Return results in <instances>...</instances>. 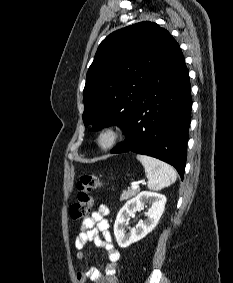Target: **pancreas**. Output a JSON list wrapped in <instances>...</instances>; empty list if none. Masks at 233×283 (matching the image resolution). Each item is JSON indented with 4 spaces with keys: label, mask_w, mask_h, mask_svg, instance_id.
Instances as JSON below:
<instances>
[{
    "label": "pancreas",
    "mask_w": 233,
    "mask_h": 283,
    "mask_svg": "<svg viewBox=\"0 0 233 283\" xmlns=\"http://www.w3.org/2000/svg\"><path fill=\"white\" fill-rule=\"evenodd\" d=\"M138 193V190H125L121 194L120 201L128 200L131 197L135 196Z\"/></svg>",
    "instance_id": "obj_1"
}]
</instances>
